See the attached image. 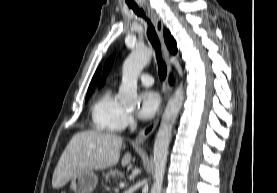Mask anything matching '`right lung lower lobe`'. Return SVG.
<instances>
[{"mask_svg":"<svg viewBox=\"0 0 277 193\" xmlns=\"http://www.w3.org/2000/svg\"><path fill=\"white\" fill-rule=\"evenodd\" d=\"M170 82H172V78L170 77Z\"/></svg>","mask_w":277,"mask_h":193,"instance_id":"right-lung-lower-lobe-1","label":"right lung lower lobe"}]
</instances>
